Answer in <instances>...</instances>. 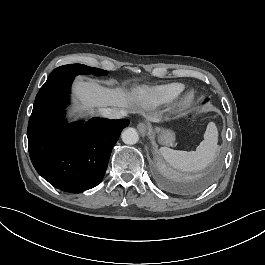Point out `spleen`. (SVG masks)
<instances>
[{
    "label": "spleen",
    "mask_w": 265,
    "mask_h": 265,
    "mask_svg": "<svg viewBox=\"0 0 265 265\" xmlns=\"http://www.w3.org/2000/svg\"><path fill=\"white\" fill-rule=\"evenodd\" d=\"M204 138L205 140L200 143L196 151L189 152L170 147H162L160 151L166 161L180 170H201L215 158L217 130L213 123L208 124Z\"/></svg>",
    "instance_id": "3e777b00"
}]
</instances>
